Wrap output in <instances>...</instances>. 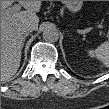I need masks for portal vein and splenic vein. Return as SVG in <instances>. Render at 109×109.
<instances>
[{
  "instance_id": "obj_1",
  "label": "portal vein and splenic vein",
  "mask_w": 109,
  "mask_h": 109,
  "mask_svg": "<svg viewBox=\"0 0 109 109\" xmlns=\"http://www.w3.org/2000/svg\"><path fill=\"white\" fill-rule=\"evenodd\" d=\"M6 4L9 6V5H11V2H7ZM16 6L18 7V5H16ZM87 32H88V30H83L82 31V33H87Z\"/></svg>"
}]
</instances>
